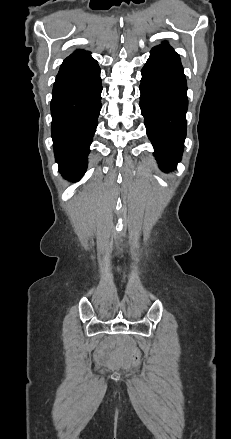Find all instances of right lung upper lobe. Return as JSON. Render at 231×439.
Instances as JSON below:
<instances>
[{
  "label": "right lung upper lobe",
  "instance_id": "cb5924a9",
  "mask_svg": "<svg viewBox=\"0 0 231 439\" xmlns=\"http://www.w3.org/2000/svg\"><path fill=\"white\" fill-rule=\"evenodd\" d=\"M88 57H90V52L88 51H75L63 61L60 70L76 65Z\"/></svg>",
  "mask_w": 231,
  "mask_h": 439
}]
</instances>
